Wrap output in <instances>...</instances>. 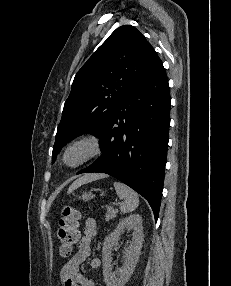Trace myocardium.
<instances>
[{
  "label": "myocardium",
  "mask_w": 231,
  "mask_h": 286,
  "mask_svg": "<svg viewBox=\"0 0 231 286\" xmlns=\"http://www.w3.org/2000/svg\"><path fill=\"white\" fill-rule=\"evenodd\" d=\"M76 148H84L85 154L76 163L70 164L67 161L69 153ZM103 145L101 138L94 133H83L69 141L63 149L61 163L68 169H77L102 154Z\"/></svg>",
  "instance_id": "1"
}]
</instances>
